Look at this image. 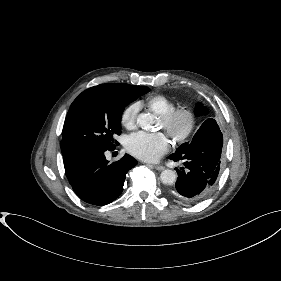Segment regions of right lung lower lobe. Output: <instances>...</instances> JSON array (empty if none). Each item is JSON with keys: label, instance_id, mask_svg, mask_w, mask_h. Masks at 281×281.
<instances>
[{"label": "right lung lower lobe", "instance_id": "98d812e1", "mask_svg": "<svg viewBox=\"0 0 281 281\" xmlns=\"http://www.w3.org/2000/svg\"><path fill=\"white\" fill-rule=\"evenodd\" d=\"M113 149L114 146L109 148ZM106 150L86 151L64 163L73 190L81 200L92 205L103 206L119 197L127 172L138 163L125 154L119 161L109 164L104 156Z\"/></svg>", "mask_w": 281, "mask_h": 281}]
</instances>
